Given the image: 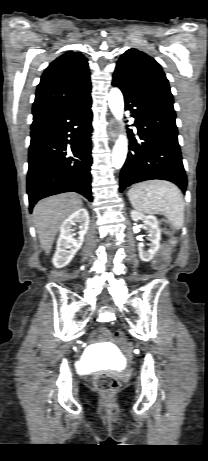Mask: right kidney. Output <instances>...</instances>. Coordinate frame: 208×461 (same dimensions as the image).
<instances>
[{
  "mask_svg": "<svg viewBox=\"0 0 208 461\" xmlns=\"http://www.w3.org/2000/svg\"><path fill=\"white\" fill-rule=\"evenodd\" d=\"M89 222V214L86 209H79L64 220L60 227L56 252L52 259V263L55 267L62 268L72 260L83 244L84 235L89 228ZM76 223H80V230L78 232L79 237L73 238L72 227L76 225Z\"/></svg>",
  "mask_w": 208,
  "mask_h": 461,
  "instance_id": "right-kidney-1",
  "label": "right kidney"
}]
</instances>
